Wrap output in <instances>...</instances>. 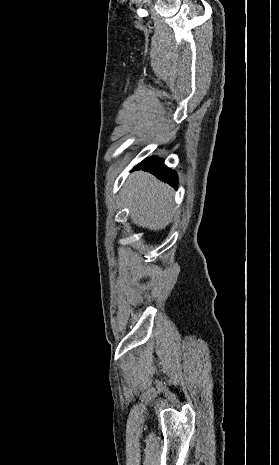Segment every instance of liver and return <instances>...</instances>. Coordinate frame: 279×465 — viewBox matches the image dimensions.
Masks as SVG:
<instances>
[{
    "label": "liver",
    "instance_id": "liver-1",
    "mask_svg": "<svg viewBox=\"0 0 279 465\" xmlns=\"http://www.w3.org/2000/svg\"><path fill=\"white\" fill-rule=\"evenodd\" d=\"M173 189L147 172H134L123 187V203L129 209L131 221L149 230L168 226L176 210L172 202Z\"/></svg>",
    "mask_w": 279,
    "mask_h": 465
}]
</instances>
